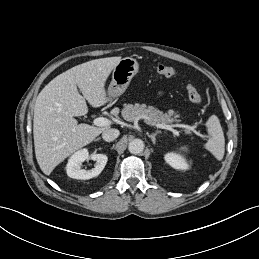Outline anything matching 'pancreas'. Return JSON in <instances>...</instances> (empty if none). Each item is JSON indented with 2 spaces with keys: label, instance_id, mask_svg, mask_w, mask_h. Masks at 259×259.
<instances>
[{
  "label": "pancreas",
  "instance_id": "cf45deb5",
  "mask_svg": "<svg viewBox=\"0 0 259 259\" xmlns=\"http://www.w3.org/2000/svg\"><path fill=\"white\" fill-rule=\"evenodd\" d=\"M122 116L127 121H135L140 118H145L150 122L171 125L175 121H177V117L179 115L174 111L170 110L167 113H163L153 106H146V104H124V108L122 110ZM187 133L190 132L189 128L185 130Z\"/></svg>",
  "mask_w": 259,
  "mask_h": 259
}]
</instances>
